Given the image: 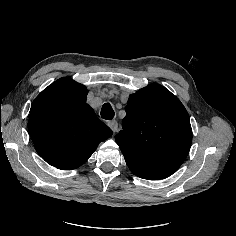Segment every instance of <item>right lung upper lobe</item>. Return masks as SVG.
<instances>
[{"label": "right lung upper lobe", "instance_id": "cb5924a9", "mask_svg": "<svg viewBox=\"0 0 236 236\" xmlns=\"http://www.w3.org/2000/svg\"><path fill=\"white\" fill-rule=\"evenodd\" d=\"M87 89L71 78L58 79L34 100L28 131L37 153L62 170L85 163L113 132L86 103Z\"/></svg>", "mask_w": 236, "mask_h": 236}]
</instances>
